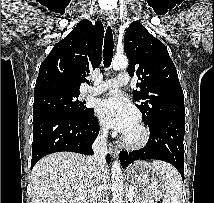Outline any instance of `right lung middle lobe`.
<instances>
[{"instance_id": "1", "label": "right lung middle lobe", "mask_w": 214, "mask_h": 203, "mask_svg": "<svg viewBox=\"0 0 214 203\" xmlns=\"http://www.w3.org/2000/svg\"><path fill=\"white\" fill-rule=\"evenodd\" d=\"M80 93H51L34 98L33 120L50 114L87 115L85 101H80Z\"/></svg>"}]
</instances>
